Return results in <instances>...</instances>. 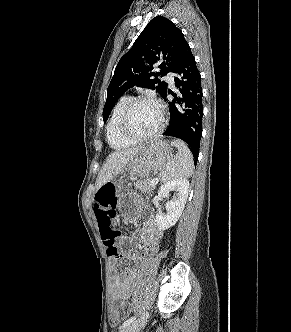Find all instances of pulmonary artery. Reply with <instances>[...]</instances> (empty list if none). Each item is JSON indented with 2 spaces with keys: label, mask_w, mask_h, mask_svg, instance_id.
Listing matches in <instances>:
<instances>
[{
  "label": "pulmonary artery",
  "mask_w": 291,
  "mask_h": 332,
  "mask_svg": "<svg viewBox=\"0 0 291 332\" xmlns=\"http://www.w3.org/2000/svg\"><path fill=\"white\" fill-rule=\"evenodd\" d=\"M166 79L167 81L173 85L174 84V77H173V74L169 73L167 76H166Z\"/></svg>",
  "instance_id": "pulmonary-artery-1"
}]
</instances>
